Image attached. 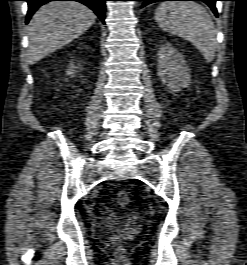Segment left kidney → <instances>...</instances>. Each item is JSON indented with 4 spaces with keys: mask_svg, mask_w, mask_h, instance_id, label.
Wrapping results in <instances>:
<instances>
[{
    "mask_svg": "<svg viewBox=\"0 0 247 265\" xmlns=\"http://www.w3.org/2000/svg\"><path fill=\"white\" fill-rule=\"evenodd\" d=\"M157 57L158 75L172 92H177L190 83L189 67L183 55L173 45H161Z\"/></svg>",
    "mask_w": 247,
    "mask_h": 265,
    "instance_id": "1",
    "label": "left kidney"
}]
</instances>
